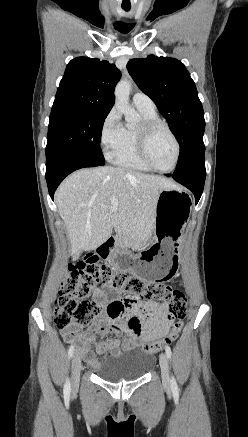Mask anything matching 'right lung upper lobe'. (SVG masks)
<instances>
[{
	"instance_id": "1",
	"label": "right lung upper lobe",
	"mask_w": 248,
	"mask_h": 437,
	"mask_svg": "<svg viewBox=\"0 0 248 437\" xmlns=\"http://www.w3.org/2000/svg\"><path fill=\"white\" fill-rule=\"evenodd\" d=\"M120 76V71L108 61L77 57L67 65L53 105L109 113L115 101L114 88Z\"/></svg>"
}]
</instances>
